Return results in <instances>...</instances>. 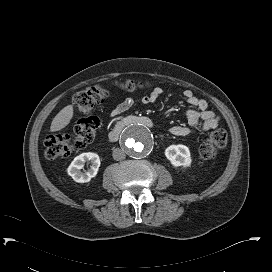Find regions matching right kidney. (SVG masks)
Returning <instances> with one entry per match:
<instances>
[{"label": "right kidney", "mask_w": 272, "mask_h": 272, "mask_svg": "<svg viewBox=\"0 0 272 272\" xmlns=\"http://www.w3.org/2000/svg\"><path fill=\"white\" fill-rule=\"evenodd\" d=\"M86 161H90L91 166L87 172L83 173L80 171V169L83 168ZM100 163V158L96 153H82L74 158V160L67 168V172L75 182L86 183L97 175Z\"/></svg>", "instance_id": "obj_1"}]
</instances>
